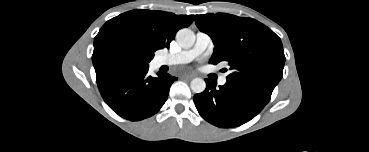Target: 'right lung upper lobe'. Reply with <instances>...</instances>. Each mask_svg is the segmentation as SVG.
Wrapping results in <instances>:
<instances>
[{
	"instance_id": "obj_1",
	"label": "right lung upper lobe",
	"mask_w": 369,
	"mask_h": 152,
	"mask_svg": "<svg viewBox=\"0 0 369 152\" xmlns=\"http://www.w3.org/2000/svg\"><path fill=\"white\" fill-rule=\"evenodd\" d=\"M193 20L194 15L135 9L107 21L94 39V48L114 50L130 46L154 56L156 50L169 48L176 32L188 27Z\"/></svg>"
}]
</instances>
